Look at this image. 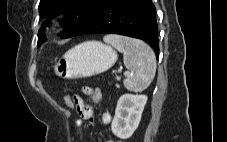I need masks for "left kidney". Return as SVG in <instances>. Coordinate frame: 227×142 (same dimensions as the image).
<instances>
[{"instance_id": "left-kidney-1", "label": "left kidney", "mask_w": 227, "mask_h": 142, "mask_svg": "<svg viewBox=\"0 0 227 142\" xmlns=\"http://www.w3.org/2000/svg\"><path fill=\"white\" fill-rule=\"evenodd\" d=\"M146 102V95L124 94L119 98L111 124L115 136L127 139L133 135L140 123Z\"/></svg>"}]
</instances>
